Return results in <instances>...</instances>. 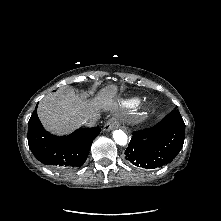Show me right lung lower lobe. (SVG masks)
I'll return each mask as SVG.
<instances>
[{
    "instance_id": "1",
    "label": "right lung lower lobe",
    "mask_w": 221,
    "mask_h": 221,
    "mask_svg": "<svg viewBox=\"0 0 221 221\" xmlns=\"http://www.w3.org/2000/svg\"><path fill=\"white\" fill-rule=\"evenodd\" d=\"M100 131L93 127L78 129L63 137L52 135L42 127L36 106L28 122V145L40 162L58 170H71L84 164L92 141Z\"/></svg>"
}]
</instances>
